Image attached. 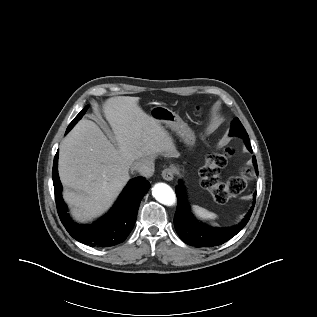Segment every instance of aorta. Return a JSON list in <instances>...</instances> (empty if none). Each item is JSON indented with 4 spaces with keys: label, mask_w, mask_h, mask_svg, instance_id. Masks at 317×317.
<instances>
[{
    "label": "aorta",
    "mask_w": 317,
    "mask_h": 317,
    "mask_svg": "<svg viewBox=\"0 0 317 317\" xmlns=\"http://www.w3.org/2000/svg\"><path fill=\"white\" fill-rule=\"evenodd\" d=\"M153 197L162 205L172 206L176 202L173 189L165 183H157L152 188Z\"/></svg>",
    "instance_id": "obj_1"
}]
</instances>
